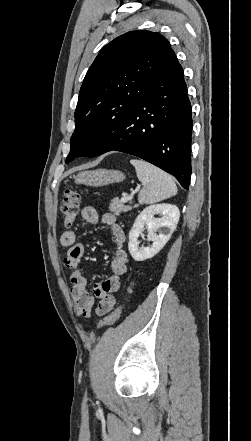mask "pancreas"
I'll use <instances>...</instances> for the list:
<instances>
[{"label":"pancreas","instance_id":"obj_1","mask_svg":"<svg viewBox=\"0 0 251 441\" xmlns=\"http://www.w3.org/2000/svg\"><path fill=\"white\" fill-rule=\"evenodd\" d=\"M134 207H137V205H135ZM131 209V206L124 205L123 202H121L118 198H113L109 206L110 212H112L116 216H119L122 212L130 211Z\"/></svg>","mask_w":251,"mask_h":441}]
</instances>
